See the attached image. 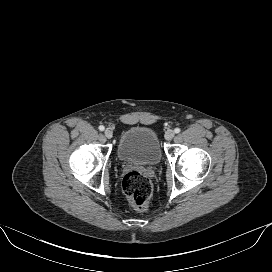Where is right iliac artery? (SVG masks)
Wrapping results in <instances>:
<instances>
[{
  "label": "right iliac artery",
  "mask_w": 272,
  "mask_h": 272,
  "mask_svg": "<svg viewBox=\"0 0 272 272\" xmlns=\"http://www.w3.org/2000/svg\"><path fill=\"white\" fill-rule=\"evenodd\" d=\"M104 129H105V127H104L103 125H100V126H99V130H100V131H104Z\"/></svg>",
  "instance_id": "right-iliac-artery-1"
}]
</instances>
